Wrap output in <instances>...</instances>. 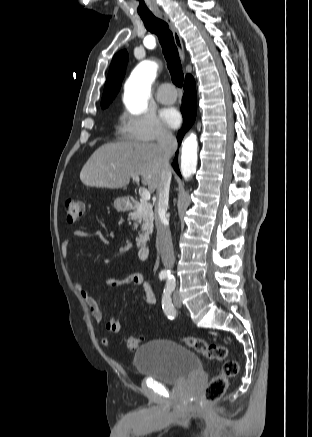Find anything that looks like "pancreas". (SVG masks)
<instances>
[{
  "mask_svg": "<svg viewBox=\"0 0 312 437\" xmlns=\"http://www.w3.org/2000/svg\"><path fill=\"white\" fill-rule=\"evenodd\" d=\"M128 218L134 221V229H137L138 224H141L142 233L136 241L139 246H144L149 235L153 232L154 215L152 205L147 201L141 200L136 205L135 210L129 213Z\"/></svg>",
  "mask_w": 312,
  "mask_h": 437,
  "instance_id": "cf45deb5",
  "label": "pancreas"
}]
</instances>
